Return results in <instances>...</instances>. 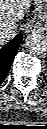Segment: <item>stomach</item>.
<instances>
[{"instance_id":"0dacf381","label":"stomach","mask_w":47,"mask_h":129,"mask_svg":"<svg viewBox=\"0 0 47 129\" xmlns=\"http://www.w3.org/2000/svg\"><path fill=\"white\" fill-rule=\"evenodd\" d=\"M35 5V16L33 23L47 31V0H33Z\"/></svg>"}]
</instances>
